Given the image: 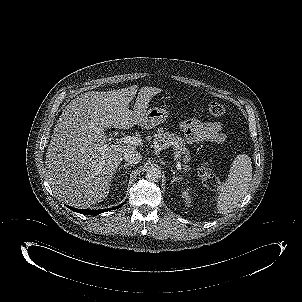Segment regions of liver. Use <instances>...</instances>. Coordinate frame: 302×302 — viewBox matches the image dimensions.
<instances>
[{"label":"liver","instance_id":"obj_1","mask_svg":"<svg viewBox=\"0 0 302 302\" xmlns=\"http://www.w3.org/2000/svg\"><path fill=\"white\" fill-rule=\"evenodd\" d=\"M154 89L153 93H159ZM135 87L90 91L74 98L60 115L46 153L47 177L59 196L77 207L102 202L126 150L136 145L108 143L105 128L144 127L147 100L141 89L134 110Z\"/></svg>","mask_w":302,"mask_h":302}]
</instances>
